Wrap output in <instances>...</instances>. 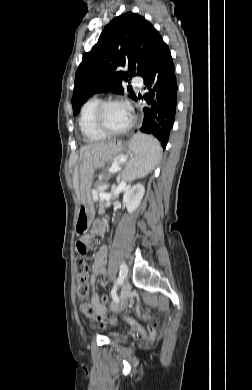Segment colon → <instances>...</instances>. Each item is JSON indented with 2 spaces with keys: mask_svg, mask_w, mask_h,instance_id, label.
Listing matches in <instances>:
<instances>
[{
  "mask_svg": "<svg viewBox=\"0 0 252 390\" xmlns=\"http://www.w3.org/2000/svg\"><path fill=\"white\" fill-rule=\"evenodd\" d=\"M86 226L83 225L80 228V232H85ZM83 249H87L85 245H82ZM85 254H80L75 260V271H76V277H77V296L79 298L84 299L88 292H89V282H88V270H87V263L84 258ZM102 301L104 303L108 302V297L106 295L102 296ZM82 311L86 315H93L95 313L94 306L91 303L85 302L81 306ZM101 322H104V318L101 319Z\"/></svg>",
  "mask_w": 252,
  "mask_h": 390,
  "instance_id": "5ec220e1",
  "label": "colon"
}]
</instances>
